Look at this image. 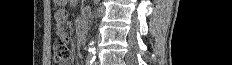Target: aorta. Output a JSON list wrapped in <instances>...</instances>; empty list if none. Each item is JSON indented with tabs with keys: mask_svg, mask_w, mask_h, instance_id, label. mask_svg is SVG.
Listing matches in <instances>:
<instances>
[{
	"mask_svg": "<svg viewBox=\"0 0 232 65\" xmlns=\"http://www.w3.org/2000/svg\"><path fill=\"white\" fill-rule=\"evenodd\" d=\"M94 2H97V0H94ZM90 18L92 19V15H90ZM95 45H94V41L93 38L90 40V42L88 43V55L93 57L95 55Z\"/></svg>",
	"mask_w": 232,
	"mask_h": 65,
	"instance_id": "762f6f07",
	"label": "aorta"
}]
</instances>
